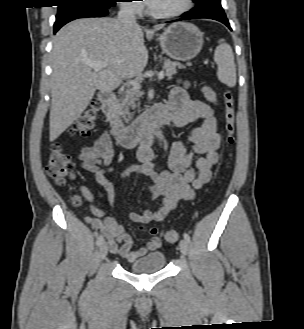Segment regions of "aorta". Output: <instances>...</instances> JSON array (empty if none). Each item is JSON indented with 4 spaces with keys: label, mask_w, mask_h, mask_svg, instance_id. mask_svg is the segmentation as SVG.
Listing matches in <instances>:
<instances>
[{
    "label": "aorta",
    "mask_w": 304,
    "mask_h": 329,
    "mask_svg": "<svg viewBox=\"0 0 304 329\" xmlns=\"http://www.w3.org/2000/svg\"><path fill=\"white\" fill-rule=\"evenodd\" d=\"M153 126H154V128H157L156 124H154ZM155 135L159 139L160 142L164 141V136H163L162 132L159 129H156Z\"/></svg>",
    "instance_id": "1"
}]
</instances>
